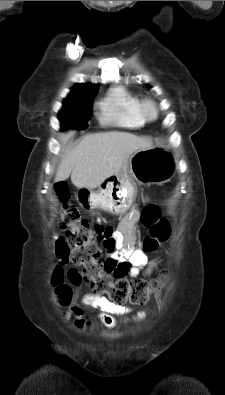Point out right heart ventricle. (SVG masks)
Here are the masks:
<instances>
[{
	"mask_svg": "<svg viewBox=\"0 0 225 395\" xmlns=\"http://www.w3.org/2000/svg\"><path fill=\"white\" fill-rule=\"evenodd\" d=\"M140 98L124 86H116L108 92L100 103L99 119L103 124L135 129L145 121L138 112Z\"/></svg>",
	"mask_w": 225,
	"mask_h": 395,
	"instance_id": "1",
	"label": "right heart ventricle"
}]
</instances>
